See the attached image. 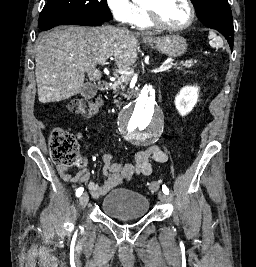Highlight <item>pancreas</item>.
<instances>
[{"instance_id":"cf45deb5","label":"pancreas","mask_w":256,"mask_h":267,"mask_svg":"<svg viewBox=\"0 0 256 267\" xmlns=\"http://www.w3.org/2000/svg\"><path fill=\"white\" fill-rule=\"evenodd\" d=\"M182 66H185V68H191V66H194L192 60H187V62H181ZM124 76V82H121L119 78V82H114L112 86H110V90H114V94H117L119 92L120 96H125V98H129L130 94L132 92H127V94H123L127 84H129L130 80H132V76H127V74H123ZM115 102H118V100H115Z\"/></svg>"}]
</instances>
